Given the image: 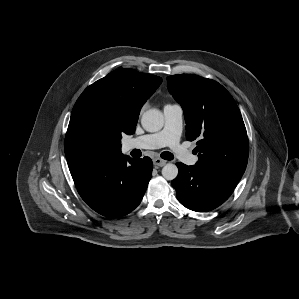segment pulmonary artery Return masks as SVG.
Here are the masks:
<instances>
[{"mask_svg":"<svg viewBox=\"0 0 299 299\" xmlns=\"http://www.w3.org/2000/svg\"><path fill=\"white\" fill-rule=\"evenodd\" d=\"M163 113L165 122L162 130L131 139L124 144V149H157L168 146L181 162L194 165L197 157L180 144L183 123L182 107L178 104H168L164 107Z\"/></svg>","mask_w":299,"mask_h":299,"instance_id":"obj_1","label":"pulmonary artery"}]
</instances>
